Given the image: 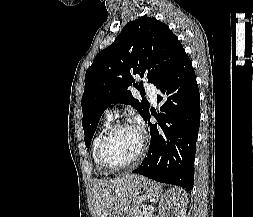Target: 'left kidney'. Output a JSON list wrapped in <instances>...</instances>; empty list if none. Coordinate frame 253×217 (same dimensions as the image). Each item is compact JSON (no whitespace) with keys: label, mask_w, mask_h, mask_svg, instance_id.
Here are the masks:
<instances>
[{"label":"left kidney","mask_w":253,"mask_h":217,"mask_svg":"<svg viewBox=\"0 0 253 217\" xmlns=\"http://www.w3.org/2000/svg\"><path fill=\"white\" fill-rule=\"evenodd\" d=\"M187 193L179 188L166 192L159 203L160 217H183L186 212Z\"/></svg>","instance_id":"left-kidney-1"}]
</instances>
